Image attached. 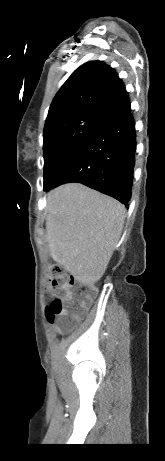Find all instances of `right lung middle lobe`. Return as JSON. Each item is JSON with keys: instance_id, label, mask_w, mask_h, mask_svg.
Instances as JSON below:
<instances>
[{"instance_id": "right-lung-middle-lobe-1", "label": "right lung middle lobe", "mask_w": 165, "mask_h": 461, "mask_svg": "<svg viewBox=\"0 0 165 461\" xmlns=\"http://www.w3.org/2000/svg\"><path fill=\"white\" fill-rule=\"evenodd\" d=\"M103 120L92 115L56 119L44 128V186L62 164L100 125Z\"/></svg>"}]
</instances>
